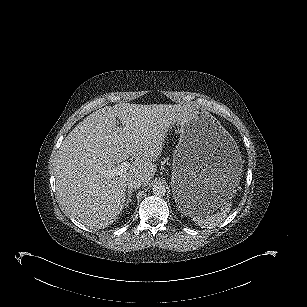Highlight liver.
Segmentation results:
<instances>
[{"instance_id": "6515ba94", "label": "liver", "mask_w": 307, "mask_h": 307, "mask_svg": "<svg viewBox=\"0 0 307 307\" xmlns=\"http://www.w3.org/2000/svg\"><path fill=\"white\" fill-rule=\"evenodd\" d=\"M189 108L119 103L87 116L64 139L55 160L57 194L65 211L92 228L112 224L125 208L127 181H151L167 127L181 121ZM130 156L134 161L126 170L106 175Z\"/></svg>"}]
</instances>
